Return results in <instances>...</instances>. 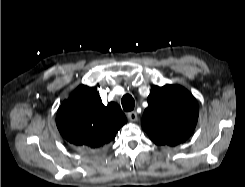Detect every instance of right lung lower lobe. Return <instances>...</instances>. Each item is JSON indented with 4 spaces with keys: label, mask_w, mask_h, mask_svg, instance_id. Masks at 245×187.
Listing matches in <instances>:
<instances>
[{
    "label": "right lung lower lobe",
    "mask_w": 245,
    "mask_h": 187,
    "mask_svg": "<svg viewBox=\"0 0 245 187\" xmlns=\"http://www.w3.org/2000/svg\"><path fill=\"white\" fill-rule=\"evenodd\" d=\"M78 149H80V150H87V149H81V148H78Z\"/></svg>",
    "instance_id": "right-lung-lower-lobe-1"
}]
</instances>
